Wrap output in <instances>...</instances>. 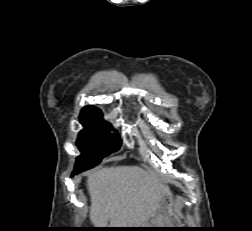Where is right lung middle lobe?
Listing matches in <instances>:
<instances>
[{"mask_svg": "<svg viewBox=\"0 0 252 231\" xmlns=\"http://www.w3.org/2000/svg\"><path fill=\"white\" fill-rule=\"evenodd\" d=\"M80 123L84 129L78 135L77 146L82 154L77 157L74 171L82 172L119 150L121 140L118 135L110 134L112 126L100 114L80 115Z\"/></svg>", "mask_w": 252, "mask_h": 231, "instance_id": "obj_1", "label": "right lung middle lobe"}]
</instances>
